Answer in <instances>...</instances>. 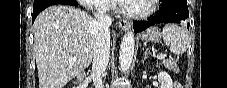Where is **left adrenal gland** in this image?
Here are the masks:
<instances>
[{
  "label": "left adrenal gland",
  "mask_w": 227,
  "mask_h": 88,
  "mask_svg": "<svg viewBox=\"0 0 227 88\" xmlns=\"http://www.w3.org/2000/svg\"><path fill=\"white\" fill-rule=\"evenodd\" d=\"M148 54H150V51H149V49H146L145 52H144V59H143V62L147 59Z\"/></svg>",
  "instance_id": "1"
}]
</instances>
